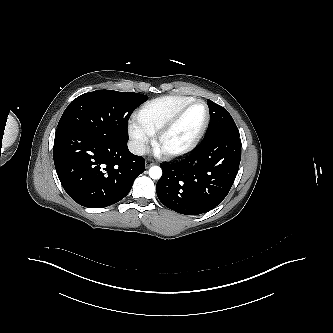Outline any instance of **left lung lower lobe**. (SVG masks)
<instances>
[{"instance_id": "1", "label": "left lung lower lobe", "mask_w": 333, "mask_h": 333, "mask_svg": "<svg viewBox=\"0 0 333 333\" xmlns=\"http://www.w3.org/2000/svg\"><path fill=\"white\" fill-rule=\"evenodd\" d=\"M241 160L239 135L222 134L203 139L184 160L161 165L156 185L159 200L185 215L206 213L229 193Z\"/></svg>"}]
</instances>
